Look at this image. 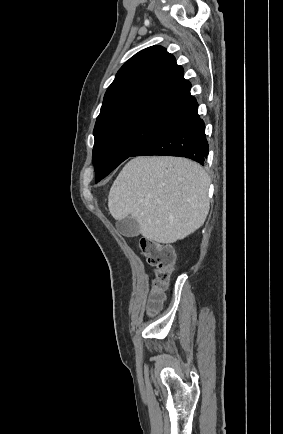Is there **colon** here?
Returning <instances> with one entry per match:
<instances>
[{"instance_id":"1","label":"colon","mask_w":283,"mask_h":434,"mask_svg":"<svg viewBox=\"0 0 283 434\" xmlns=\"http://www.w3.org/2000/svg\"><path fill=\"white\" fill-rule=\"evenodd\" d=\"M139 245L147 262L154 268L151 296L148 303V311L153 313L158 310L162 303L163 292L168 286L177 258L173 249L165 244L142 239Z\"/></svg>"}]
</instances>
